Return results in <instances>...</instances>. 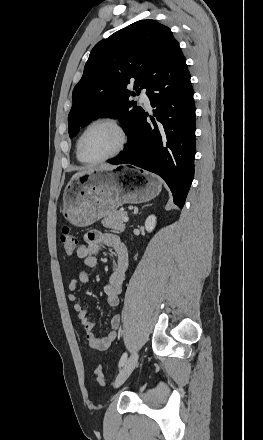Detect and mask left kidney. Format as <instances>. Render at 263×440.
<instances>
[{
	"label": "left kidney",
	"instance_id": "left-kidney-1",
	"mask_svg": "<svg viewBox=\"0 0 263 440\" xmlns=\"http://www.w3.org/2000/svg\"><path fill=\"white\" fill-rule=\"evenodd\" d=\"M156 226V217L155 215H150L145 221V229L147 232H152Z\"/></svg>",
	"mask_w": 263,
	"mask_h": 440
}]
</instances>
